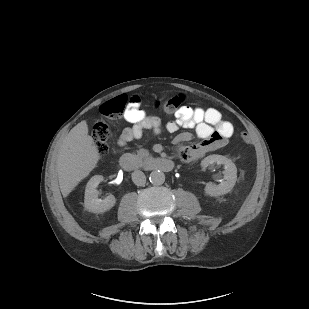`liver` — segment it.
I'll return each instance as SVG.
<instances>
[{"label": "liver", "instance_id": "liver-1", "mask_svg": "<svg viewBox=\"0 0 309 309\" xmlns=\"http://www.w3.org/2000/svg\"><path fill=\"white\" fill-rule=\"evenodd\" d=\"M99 159L98 148L88 134L87 122L83 120L70 130L58 150L56 167L63 197H67L90 174Z\"/></svg>", "mask_w": 309, "mask_h": 309}]
</instances>
